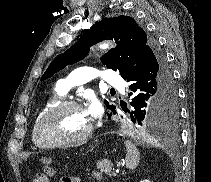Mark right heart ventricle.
<instances>
[{
  "label": "right heart ventricle",
  "mask_w": 211,
  "mask_h": 182,
  "mask_svg": "<svg viewBox=\"0 0 211 182\" xmlns=\"http://www.w3.org/2000/svg\"><path fill=\"white\" fill-rule=\"evenodd\" d=\"M63 94H61L59 91H57L54 95H52L44 104V106L41 108V110L38 112L36 117L34 118V121L32 123L31 127V139L34 145L39 146L36 138H35V127L41 116L49 110L51 107H53L55 104L60 102L62 100Z\"/></svg>",
  "instance_id": "obj_1"
}]
</instances>
